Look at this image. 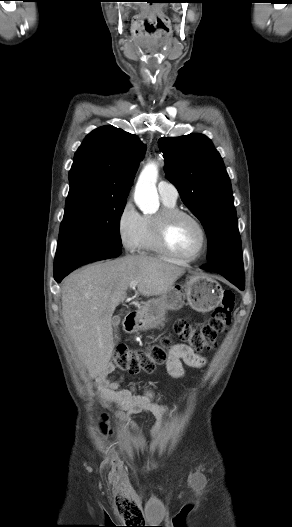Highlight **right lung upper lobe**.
<instances>
[{"label":"right lung upper lobe","mask_w":292,"mask_h":527,"mask_svg":"<svg viewBox=\"0 0 292 527\" xmlns=\"http://www.w3.org/2000/svg\"><path fill=\"white\" fill-rule=\"evenodd\" d=\"M145 145L138 136L108 125L84 139L69 172L70 187L81 186L127 196Z\"/></svg>","instance_id":"obj_1"}]
</instances>
